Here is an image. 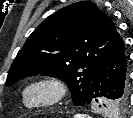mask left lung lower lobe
<instances>
[{
    "mask_svg": "<svg viewBox=\"0 0 133 118\" xmlns=\"http://www.w3.org/2000/svg\"><path fill=\"white\" fill-rule=\"evenodd\" d=\"M124 97L129 98L128 57L118 34L92 76L85 104L91 101L101 104Z\"/></svg>",
    "mask_w": 133,
    "mask_h": 118,
    "instance_id": "obj_1",
    "label": "left lung lower lobe"
}]
</instances>
